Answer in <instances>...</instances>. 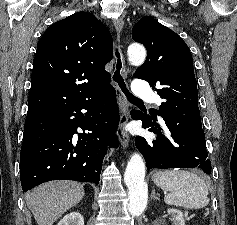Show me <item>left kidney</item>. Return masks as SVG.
<instances>
[{"instance_id":"left-kidney-1","label":"left kidney","mask_w":237,"mask_h":225,"mask_svg":"<svg viewBox=\"0 0 237 225\" xmlns=\"http://www.w3.org/2000/svg\"><path fill=\"white\" fill-rule=\"evenodd\" d=\"M168 214L171 216L172 225H185L183 213L178 209H168Z\"/></svg>"}]
</instances>
